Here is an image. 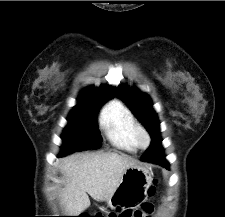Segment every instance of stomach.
<instances>
[{"mask_svg":"<svg viewBox=\"0 0 225 217\" xmlns=\"http://www.w3.org/2000/svg\"><path fill=\"white\" fill-rule=\"evenodd\" d=\"M149 180L148 170L135 164L124 171L118 188L144 187L148 184Z\"/></svg>","mask_w":225,"mask_h":217,"instance_id":"obj_1","label":"stomach"}]
</instances>
